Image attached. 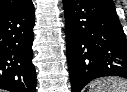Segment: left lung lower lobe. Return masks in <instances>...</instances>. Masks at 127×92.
I'll list each match as a JSON object with an SVG mask.
<instances>
[{
  "label": "left lung lower lobe",
  "instance_id": "obj_1",
  "mask_svg": "<svg viewBox=\"0 0 127 92\" xmlns=\"http://www.w3.org/2000/svg\"><path fill=\"white\" fill-rule=\"evenodd\" d=\"M72 92L104 76L127 78V41L113 2L63 0Z\"/></svg>",
  "mask_w": 127,
  "mask_h": 92
}]
</instances>
